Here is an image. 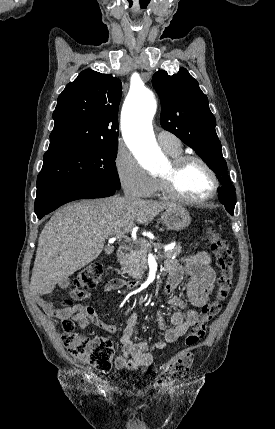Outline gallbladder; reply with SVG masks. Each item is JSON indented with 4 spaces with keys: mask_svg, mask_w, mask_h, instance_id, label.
Segmentation results:
<instances>
[{
    "mask_svg": "<svg viewBox=\"0 0 275 429\" xmlns=\"http://www.w3.org/2000/svg\"><path fill=\"white\" fill-rule=\"evenodd\" d=\"M105 253H106V254H110V253H112V249H111V248H109V247L105 248Z\"/></svg>",
    "mask_w": 275,
    "mask_h": 429,
    "instance_id": "obj_1",
    "label": "gallbladder"
}]
</instances>
